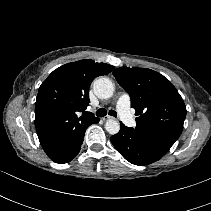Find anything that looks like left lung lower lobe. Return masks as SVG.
Here are the masks:
<instances>
[{"label":"left lung lower lobe","mask_w":211,"mask_h":211,"mask_svg":"<svg viewBox=\"0 0 211 211\" xmlns=\"http://www.w3.org/2000/svg\"><path fill=\"white\" fill-rule=\"evenodd\" d=\"M111 142L118 152L134 165L151 164L163 157L123 123H120V131L111 137Z\"/></svg>","instance_id":"left-lung-lower-lobe-1"}]
</instances>
